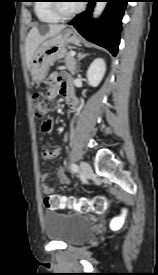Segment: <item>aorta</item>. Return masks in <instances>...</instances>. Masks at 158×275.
I'll return each mask as SVG.
<instances>
[{
	"label": "aorta",
	"instance_id": "762f6f07",
	"mask_svg": "<svg viewBox=\"0 0 158 275\" xmlns=\"http://www.w3.org/2000/svg\"><path fill=\"white\" fill-rule=\"evenodd\" d=\"M106 7V2H97L93 11V17L98 18Z\"/></svg>",
	"mask_w": 158,
	"mask_h": 275
}]
</instances>
